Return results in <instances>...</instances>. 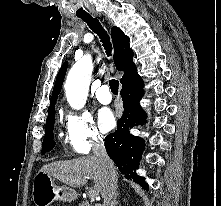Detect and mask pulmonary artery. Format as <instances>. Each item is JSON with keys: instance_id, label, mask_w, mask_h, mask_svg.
I'll return each mask as SVG.
<instances>
[{"instance_id": "obj_1", "label": "pulmonary artery", "mask_w": 221, "mask_h": 206, "mask_svg": "<svg viewBox=\"0 0 221 206\" xmlns=\"http://www.w3.org/2000/svg\"><path fill=\"white\" fill-rule=\"evenodd\" d=\"M96 98L102 104H109L112 100L110 87L108 85H101L96 91Z\"/></svg>"}]
</instances>
